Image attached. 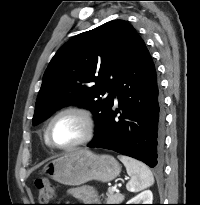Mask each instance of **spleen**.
Instances as JSON below:
<instances>
[{
  "label": "spleen",
  "instance_id": "spleen-1",
  "mask_svg": "<svg viewBox=\"0 0 200 205\" xmlns=\"http://www.w3.org/2000/svg\"><path fill=\"white\" fill-rule=\"evenodd\" d=\"M118 159L126 167L127 173L131 176L126 188L130 192H139L154 183V177L151 170L138 160L128 156L119 155Z\"/></svg>",
  "mask_w": 200,
  "mask_h": 205
}]
</instances>
